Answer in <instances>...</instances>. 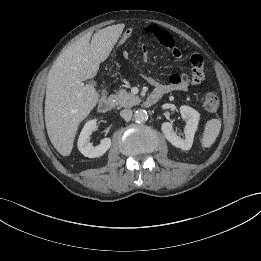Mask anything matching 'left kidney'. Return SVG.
<instances>
[{
	"instance_id": "1",
	"label": "left kidney",
	"mask_w": 261,
	"mask_h": 261,
	"mask_svg": "<svg viewBox=\"0 0 261 261\" xmlns=\"http://www.w3.org/2000/svg\"><path fill=\"white\" fill-rule=\"evenodd\" d=\"M182 118L186 121L184 130L185 137L181 138L174 130L172 123L164 122L161 125L162 132L165 138L175 147L182 150H189L192 147L194 135L198 127L200 114L190 106L183 105L180 107Z\"/></svg>"
}]
</instances>
